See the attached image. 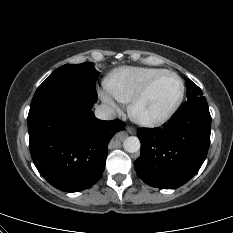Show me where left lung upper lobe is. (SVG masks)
<instances>
[{"mask_svg": "<svg viewBox=\"0 0 233 233\" xmlns=\"http://www.w3.org/2000/svg\"><path fill=\"white\" fill-rule=\"evenodd\" d=\"M185 82H186L188 100L194 97L203 95L201 89L195 83H193L190 79H186Z\"/></svg>", "mask_w": 233, "mask_h": 233, "instance_id": "5c2ea615", "label": "left lung upper lobe"}]
</instances>
